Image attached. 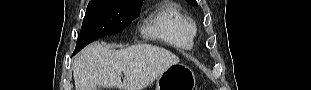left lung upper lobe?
<instances>
[{
    "label": "left lung upper lobe",
    "mask_w": 311,
    "mask_h": 90,
    "mask_svg": "<svg viewBox=\"0 0 311 90\" xmlns=\"http://www.w3.org/2000/svg\"><path fill=\"white\" fill-rule=\"evenodd\" d=\"M188 3H190L193 6L197 5V2L195 0H186Z\"/></svg>",
    "instance_id": "left-lung-upper-lobe-1"
}]
</instances>
